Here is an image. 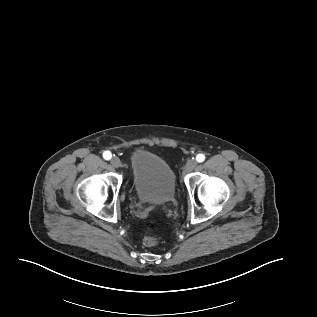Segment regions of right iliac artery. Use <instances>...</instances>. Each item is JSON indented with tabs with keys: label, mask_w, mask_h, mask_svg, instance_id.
Listing matches in <instances>:
<instances>
[{
	"label": "right iliac artery",
	"mask_w": 317,
	"mask_h": 317,
	"mask_svg": "<svg viewBox=\"0 0 317 317\" xmlns=\"http://www.w3.org/2000/svg\"><path fill=\"white\" fill-rule=\"evenodd\" d=\"M103 157H104V159L109 160V159H111L112 154H111L110 151H105V152L103 153Z\"/></svg>",
	"instance_id": "82829eb1"
}]
</instances>
